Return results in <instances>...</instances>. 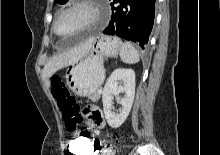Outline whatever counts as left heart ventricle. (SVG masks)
Listing matches in <instances>:
<instances>
[{"mask_svg": "<svg viewBox=\"0 0 220 155\" xmlns=\"http://www.w3.org/2000/svg\"><path fill=\"white\" fill-rule=\"evenodd\" d=\"M88 12L85 9H78L63 14L56 23V31L60 36H69L76 32L88 19Z\"/></svg>", "mask_w": 220, "mask_h": 155, "instance_id": "1", "label": "left heart ventricle"}]
</instances>
